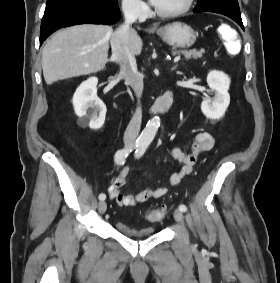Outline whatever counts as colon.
<instances>
[{"label":"colon","instance_id":"colon-1","mask_svg":"<svg viewBox=\"0 0 280 283\" xmlns=\"http://www.w3.org/2000/svg\"><path fill=\"white\" fill-rule=\"evenodd\" d=\"M236 25L218 26L217 30L222 37H218V42H226V50L228 55H241L242 46H240L241 38L238 37ZM166 214L165 208H159L147 213L146 218L149 221H160Z\"/></svg>","mask_w":280,"mask_h":283}]
</instances>
